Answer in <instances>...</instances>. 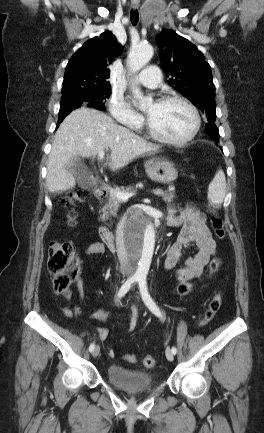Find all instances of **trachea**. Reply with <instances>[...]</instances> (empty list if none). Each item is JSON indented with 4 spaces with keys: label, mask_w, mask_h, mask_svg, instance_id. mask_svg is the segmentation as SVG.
I'll list each match as a JSON object with an SVG mask.
<instances>
[{
    "label": "trachea",
    "mask_w": 264,
    "mask_h": 433,
    "mask_svg": "<svg viewBox=\"0 0 264 433\" xmlns=\"http://www.w3.org/2000/svg\"><path fill=\"white\" fill-rule=\"evenodd\" d=\"M130 20H131V23H132V25H136L137 23H138V21H139V13H138V10H131V12H130Z\"/></svg>",
    "instance_id": "trachea-1"
}]
</instances>
